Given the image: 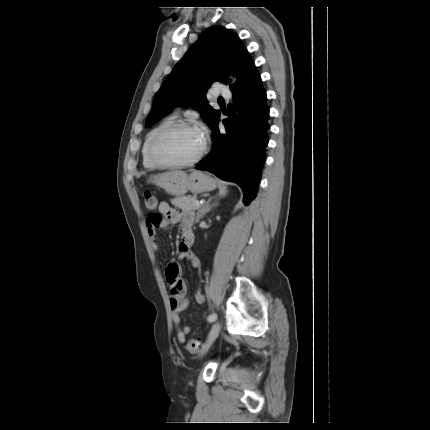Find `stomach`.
Returning a JSON list of instances; mask_svg holds the SVG:
<instances>
[{"instance_id":"1","label":"stomach","mask_w":430,"mask_h":430,"mask_svg":"<svg viewBox=\"0 0 430 430\" xmlns=\"http://www.w3.org/2000/svg\"><path fill=\"white\" fill-rule=\"evenodd\" d=\"M151 181L174 196H183L188 191L202 193L213 190L215 180L202 171H193L187 174L184 171L172 170L158 174Z\"/></svg>"}]
</instances>
